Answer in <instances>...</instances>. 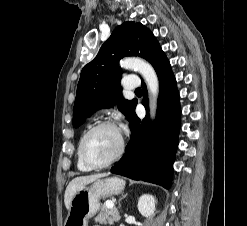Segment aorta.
I'll use <instances>...</instances> for the list:
<instances>
[{
    "label": "aorta",
    "mask_w": 247,
    "mask_h": 226,
    "mask_svg": "<svg viewBox=\"0 0 247 226\" xmlns=\"http://www.w3.org/2000/svg\"><path fill=\"white\" fill-rule=\"evenodd\" d=\"M120 66L123 69H131L137 71L144 78L147 84L148 92L151 95L149 105L150 113L151 116L154 117L157 107V98L159 94V80L154 68L147 61L136 57L124 58L120 61Z\"/></svg>",
    "instance_id": "obj_1"
}]
</instances>
